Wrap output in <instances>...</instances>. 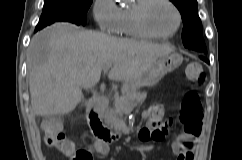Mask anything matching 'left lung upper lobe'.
Masks as SVG:
<instances>
[{"instance_id": "left-lung-upper-lobe-1", "label": "left lung upper lobe", "mask_w": 242, "mask_h": 160, "mask_svg": "<svg viewBox=\"0 0 242 160\" xmlns=\"http://www.w3.org/2000/svg\"><path fill=\"white\" fill-rule=\"evenodd\" d=\"M178 8L183 21L182 40L186 48L207 54L202 24L197 13V0H170Z\"/></svg>"}]
</instances>
